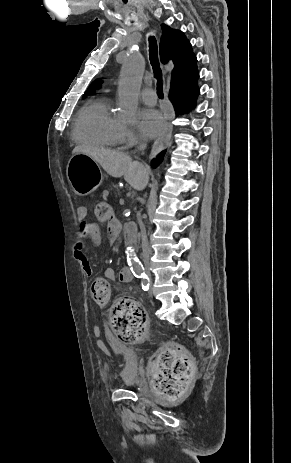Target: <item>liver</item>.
<instances>
[{
    "mask_svg": "<svg viewBox=\"0 0 291 463\" xmlns=\"http://www.w3.org/2000/svg\"><path fill=\"white\" fill-rule=\"evenodd\" d=\"M76 153L88 155L113 177L124 176L125 181L136 190H143L148 184V168L138 161H133L126 153L85 145L76 146L73 154Z\"/></svg>",
    "mask_w": 291,
    "mask_h": 463,
    "instance_id": "6515ba94",
    "label": "liver"
}]
</instances>
